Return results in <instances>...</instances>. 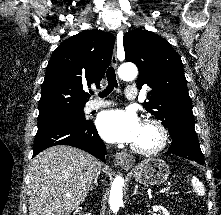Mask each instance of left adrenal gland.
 I'll use <instances>...</instances> for the list:
<instances>
[{
  "label": "left adrenal gland",
  "mask_w": 221,
  "mask_h": 215,
  "mask_svg": "<svg viewBox=\"0 0 221 215\" xmlns=\"http://www.w3.org/2000/svg\"><path fill=\"white\" fill-rule=\"evenodd\" d=\"M136 194H143L142 192L138 191V185L137 184L135 185V189H134V192L132 193V196H134Z\"/></svg>",
  "instance_id": "obj_1"
}]
</instances>
